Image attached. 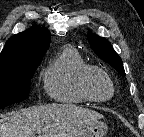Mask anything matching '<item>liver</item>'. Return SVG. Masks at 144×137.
<instances>
[{
	"mask_svg": "<svg viewBox=\"0 0 144 137\" xmlns=\"http://www.w3.org/2000/svg\"><path fill=\"white\" fill-rule=\"evenodd\" d=\"M100 113L70 104L28 107L0 118V137H70L83 125L102 119Z\"/></svg>",
	"mask_w": 144,
	"mask_h": 137,
	"instance_id": "6515ba94",
	"label": "liver"
}]
</instances>
